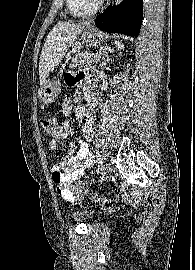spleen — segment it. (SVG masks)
I'll list each match as a JSON object with an SVG mask.
<instances>
[{
  "label": "spleen",
  "mask_w": 195,
  "mask_h": 270,
  "mask_svg": "<svg viewBox=\"0 0 195 270\" xmlns=\"http://www.w3.org/2000/svg\"><path fill=\"white\" fill-rule=\"evenodd\" d=\"M115 45L118 49H123L124 45L120 41H115Z\"/></svg>",
  "instance_id": "1"
}]
</instances>
